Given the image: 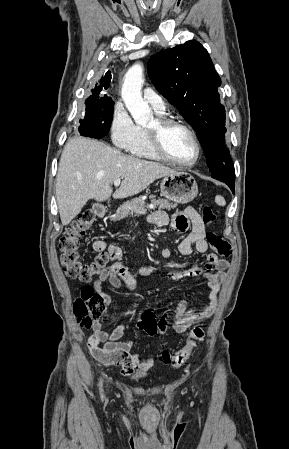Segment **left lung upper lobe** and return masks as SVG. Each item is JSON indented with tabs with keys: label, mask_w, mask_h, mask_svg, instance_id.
Masks as SVG:
<instances>
[{
	"label": "left lung upper lobe",
	"mask_w": 289,
	"mask_h": 449,
	"mask_svg": "<svg viewBox=\"0 0 289 449\" xmlns=\"http://www.w3.org/2000/svg\"><path fill=\"white\" fill-rule=\"evenodd\" d=\"M147 69L156 89L196 131L212 177L234 180V165L224 144L225 109L217 90L221 79L207 50L190 40L152 56Z\"/></svg>",
	"instance_id": "left-lung-upper-lobe-1"
}]
</instances>
